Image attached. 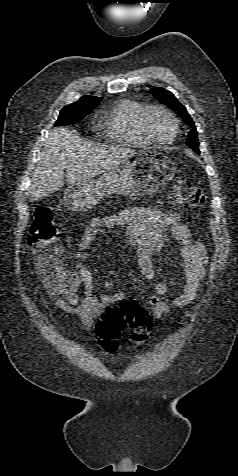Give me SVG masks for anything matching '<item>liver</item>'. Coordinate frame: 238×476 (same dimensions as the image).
Returning a JSON list of instances; mask_svg holds the SVG:
<instances>
[{"mask_svg": "<svg viewBox=\"0 0 238 476\" xmlns=\"http://www.w3.org/2000/svg\"><path fill=\"white\" fill-rule=\"evenodd\" d=\"M135 150L122 146H96L84 142L80 134L55 128L44 144L32 178L30 201L42 199L64 185V170L69 186L93 179L119 164Z\"/></svg>", "mask_w": 238, "mask_h": 476, "instance_id": "6515ba94", "label": "liver"}]
</instances>
